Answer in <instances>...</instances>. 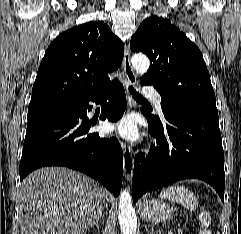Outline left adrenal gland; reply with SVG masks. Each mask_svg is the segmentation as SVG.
<instances>
[{
  "label": "left adrenal gland",
  "mask_w": 241,
  "mask_h": 234,
  "mask_svg": "<svg viewBox=\"0 0 241 234\" xmlns=\"http://www.w3.org/2000/svg\"><path fill=\"white\" fill-rule=\"evenodd\" d=\"M150 234H155L153 228L151 229Z\"/></svg>",
  "instance_id": "left-adrenal-gland-1"
}]
</instances>
